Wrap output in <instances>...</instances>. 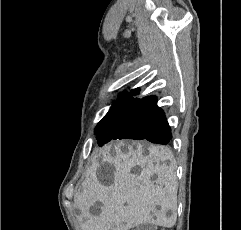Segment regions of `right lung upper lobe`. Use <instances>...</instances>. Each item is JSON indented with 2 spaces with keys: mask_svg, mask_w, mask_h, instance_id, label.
<instances>
[{
  "mask_svg": "<svg viewBox=\"0 0 241 230\" xmlns=\"http://www.w3.org/2000/svg\"><path fill=\"white\" fill-rule=\"evenodd\" d=\"M139 93V88L131 90L129 93H121L119 99L111 107L109 112H121L126 113H137L140 108L144 105H148L149 102L155 98V96H146L141 99L134 98L133 96ZM108 112V113H109Z\"/></svg>",
  "mask_w": 241,
  "mask_h": 230,
  "instance_id": "1",
  "label": "right lung upper lobe"
}]
</instances>
